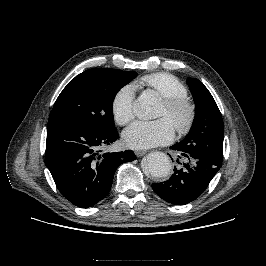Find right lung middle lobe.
<instances>
[{"label": "right lung middle lobe", "mask_w": 266, "mask_h": 266, "mask_svg": "<svg viewBox=\"0 0 266 266\" xmlns=\"http://www.w3.org/2000/svg\"><path fill=\"white\" fill-rule=\"evenodd\" d=\"M137 76L136 72L110 68L84 71L58 96L49 121H62L94 130H114L112 101L116 93Z\"/></svg>", "instance_id": "1"}]
</instances>
